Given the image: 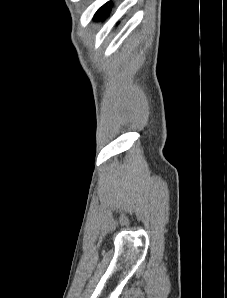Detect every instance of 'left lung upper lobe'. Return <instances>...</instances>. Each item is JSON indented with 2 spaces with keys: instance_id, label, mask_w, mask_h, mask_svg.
Returning a JSON list of instances; mask_svg holds the SVG:
<instances>
[{
  "instance_id": "5c2ea615",
  "label": "left lung upper lobe",
  "mask_w": 227,
  "mask_h": 298,
  "mask_svg": "<svg viewBox=\"0 0 227 298\" xmlns=\"http://www.w3.org/2000/svg\"><path fill=\"white\" fill-rule=\"evenodd\" d=\"M107 4H105L104 6H102L95 14L94 18L95 19H99L100 17H102V15L104 14V11L106 9Z\"/></svg>"
}]
</instances>
